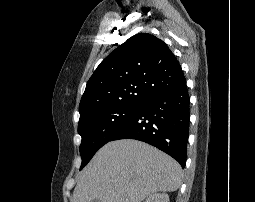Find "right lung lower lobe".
Returning <instances> with one entry per match:
<instances>
[{
    "instance_id": "obj_1",
    "label": "right lung lower lobe",
    "mask_w": 255,
    "mask_h": 202,
    "mask_svg": "<svg viewBox=\"0 0 255 202\" xmlns=\"http://www.w3.org/2000/svg\"><path fill=\"white\" fill-rule=\"evenodd\" d=\"M189 104L186 82L181 86L154 95L113 136L137 139L157 147L185 167L189 136Z\"/></svg>"
}]
</instances>
